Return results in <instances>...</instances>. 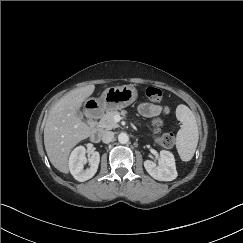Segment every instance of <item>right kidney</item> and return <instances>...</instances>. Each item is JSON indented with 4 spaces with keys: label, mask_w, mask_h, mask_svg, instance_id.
Returning <instances> with one entry per match:
<instances>
[{
    "label": "right kidney",
    "mask_w": 243,
    "mask_h": 243,
    "mask_svg": "<svg viewBox=\"0 0 243 243\" xmlns=\"http://www.w3.org/2000/svg\"><path fill=\"white\" fill-rule=\"evenodd\" d=\"M86 148L84 146L76 147L69 157V170L73 177L80 182L91 179L97 172L100 162L99 152H94L89 158V168L84 170L86 164Z\"/></svg>",
    "instance_id": "1"
}]
</instances>
